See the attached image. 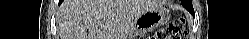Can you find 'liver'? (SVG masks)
Listing matches in <instances>:
<instances>
[{"mask_svg": "<svg viewBox=\"0 0 249 39\" xmlns=\"http://www.w3.org/2000/svg\"><path fill=\"white\" fill-rule=\"evenodd\" d=\"M159 6L157 0H72L63 8L61 39H126L133 21Z\"/></svg>", "mask_w": 249, "mask_h": 39, "instance_id": "liver-1", "label": "liver"}]
</instances>
